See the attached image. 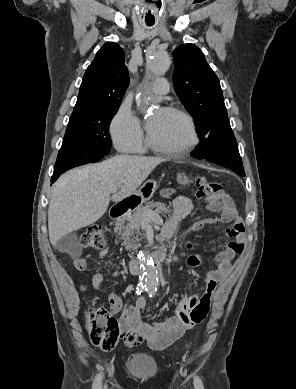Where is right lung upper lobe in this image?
<instances>
[{
	"mask_svg": "<svg viewBox=\"0 0 296 389\" xmlns=\"http://www.w3.org/2000/svg\"><path fill=\"white\" fill-rule=\"evenodd\" d=\"M128 85L122 48L114 42L105 43L85 72L70 120L95 109L120 106Z\"/></svg>",
	"mask_w": 296,
	"mask_h": 389,
	"instance_id": "right-lung-upper-lobe-1",
	"label": "right lung upper lobe"
}]
</instances>
